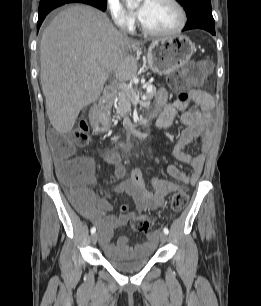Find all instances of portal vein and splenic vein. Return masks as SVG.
Returning <instances> with one entry per match:
<instances>
[{"label": "portal vein and splenic vein", "mask_w": 261, "mask_h": 306, "mask_svg": "<svg viewBox=\"0 0 261 306\" xmlns=\"http://www.w3.org/2000/svg\"><path fill=\"white\" fill-rule=\"evenodd\" d=\"M119 87L124 91L130 92V93L133 92L132 87L130 85L126 84V83H120ZM142 99L146 100V96H142ZM136 101H137V103L139 102L140 104H142L143 106H146V107H148L150 105V101L142 102V101L139 100V97H136Z\"/></svg>", "instance_id": "1"}]
</instances>
